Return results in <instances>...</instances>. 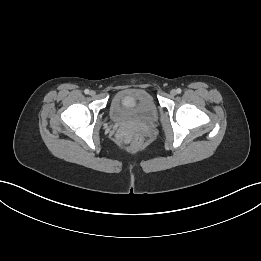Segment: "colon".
Segmentation results:
<instances>
[{
	"label": "colon",
	"instance_id": "obj_1",
	"mask_svg": "<svg viewBox=\"0 0 261 261\" xmlns=\"http://www.w3.org/2000/svg\"><path fill=\"white\" fill-rule=\"evenodd\" d=\"M133 139L137 145L141 144V138L139 135H134Z\"/></svg>",
	"mask_w": 261,
	"mask_h": 261
}]
</instances>
